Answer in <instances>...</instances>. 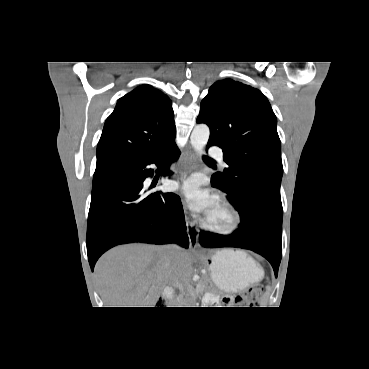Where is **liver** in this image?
<instances>
[{"label":"liver","mask_w":369,"mask_h":369,"mask_svg":"<svg viewBox=\"0 0 369 369\" xmlns=\"http://www.w3.org/2000/svg\"><path fill=\"white\" fill-rule=\"evenodd\" d=\"M94 273L105 307H155L165 287L188 282L192 261L180 248L169 259L165 246L129 244L105 253Z\"/></svg>","instance_id":"1"}]
</instances>
